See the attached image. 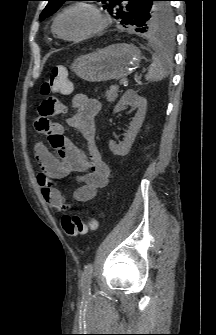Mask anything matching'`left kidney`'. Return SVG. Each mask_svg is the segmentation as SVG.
<instances>
[{
  "label": "left kidney",
  "mask_w": 216,
  "mask_h": 335,
  "mask_svg": "<svg viewBox=\"0 0 216 335\" xmlns=\"http://www.w3.org/2000/svg\"><path fill=\"white\" fill-rule=\"evenodd\" d=\"M126 105H131L138 108L135 117L132 119L129 129L125 134L123 142L116 144L114 141H109V149L114 155L125 156L131 149V146L139 132L146 114L147 100L140 97L134 90H128L121 97L120 101L115 106L113 113L120 112Z\"/></svg>",
  "instance_id": "5707ae66"
}]
</instances>
